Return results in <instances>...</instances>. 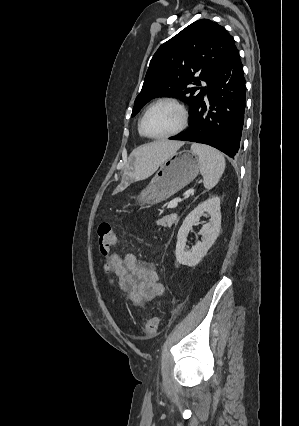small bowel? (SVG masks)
<instances>
[{"mask_svg":"<svg viewBox=\"0 0 299 426\" xmlns=\"http://www.w3.org/2000/svg\"><path fill=\"white\" fill-rule=\"evenodd\" d=\"M108 267L116 275L120 288L137 305L149 302L164 292L155 266L139 261L133 253L125 256L114 254Z\"/></svg>","mask_w":299,"mask_h":426,"instance_id":"obj_1","label":"small bowel"}]
</instances>
